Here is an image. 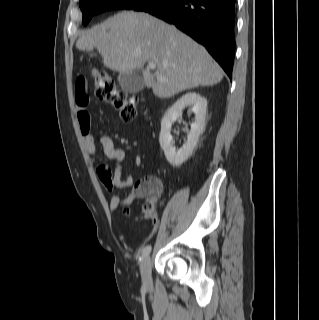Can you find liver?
<instances>
[{
    "mask_svg": "<svg viewBox=\"0 0 319 320\" xmlns=\"http://www.w3.org/2000/svg\"><path fill=\"white\" fill-rule=\"evenodd\" d=\"M76 48L97 49L103 64L120 74L142 70L144 84L159 98L215 85L223 78L221 68L204 47L175 26L147 13H118L83 32ZM146 62L156 64L154 74L144 69Z\"/></svg>",
    "mask_w": 319,
    "mask_h": 320,
    "instance_id": "liver-1",
    "label": "liver"
}]
</instances>
